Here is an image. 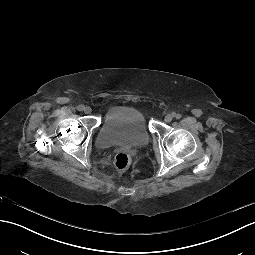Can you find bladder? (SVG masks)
Returning a JSON list of instances; mask_svg holds the SVG:
<instances>
[{"label":"bladder","instance_id":"bladder-1","mask_svg":"<svg viewBox=\"0 0 255 255\" xmlns=\"http://www.w3.org/2000/svg\"><path fill=\"white\" fill-rule=\"evenodd\" d=\"M150 132L142 113L133 106H117L106 117L97 136V145L137 146L148 141Z\"/></svg>","mask_w":255,"mask_h":255}]
</instances>
